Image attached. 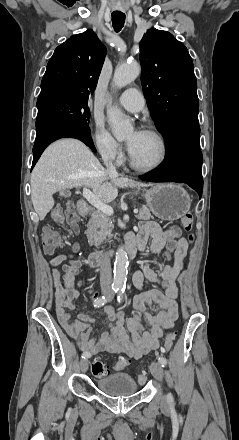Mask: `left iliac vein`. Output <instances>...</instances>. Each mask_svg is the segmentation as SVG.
Returning <instances> with one entry per match:
<instances>
[{"mask_svg": "<svg viewBox=\"0 0 239 440\" xmlns=\"http://www.w3.org/2000/svg\"><path fill=\"white\" fill-rule=\"evenodd\" d=\"M150 372L155 377V379L158 380L159 382H161L163 380V375H164L163 368L160 363L153 362L150 365ZM161 405L166 406V399L164 397L161 400Z\"/></svg>", "mask_w": 239, "mask_h": 440, "instance_id": "1", "label": "left iliac vein"}]
</instances>
